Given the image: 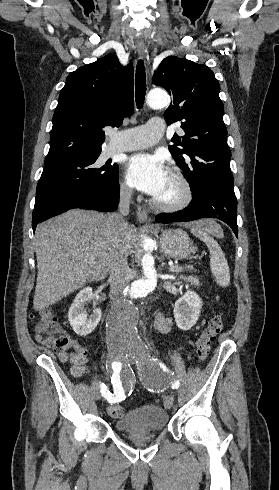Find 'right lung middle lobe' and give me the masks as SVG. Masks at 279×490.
Returning a JSON list of instances; mask_svg holds the SVG:
<instances>
[{
  "label": "right lung middle lobe",
  "instance_id": "right-lung-middle-lobe-1",
  "mask_svg": "<svg viewBox=\"0 0 279 490\" xmlns=\"http://www.w3.org/2000/svg\"><path fill=\"white\" fill-rule=\"evenodd\" d=\"M100 152L56 161L44 162V170L36 193L49 188L91 187L112 185L118 179L117 164L97 161Z\"/></svg>",
  "mask_w": 279,
  "mask_h": 490
}]
</instances>
